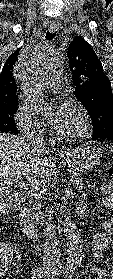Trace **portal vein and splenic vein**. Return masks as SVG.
I'll return each instance as SVG.
<instances>
[{"label": "portal vein and splenic vein", "instance_id": "portal-vein-and-splenic-vein-1", "mask_svg": "<svg viewBox=\"0 0 113 279\" xmlns=\"http://www.w3.org/2000/svg\"><path fill=\"white\" fill-rule=\"evenodd\" d=\"M15 182L25 188V189H29L31 192H32V195L35 196V197H41V195L39 194L38 190H37V187L36 186H33V185H28L25 183L24 181V178H22L21 176H18L15 180Z\"/></svg>", "mask_w": 113, "mask_h": 279}]
</instances>
